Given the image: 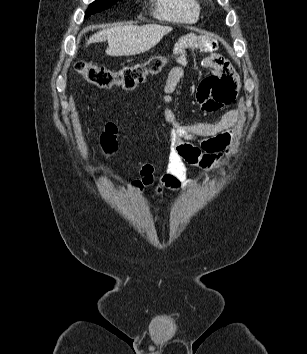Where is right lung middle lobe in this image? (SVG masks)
Instances as JSON below:
<instances>
[{
	"label": "right lung middle lobe",
	"instance_id": "right-lung-middle-lobe-1",
	"mask_svg": "<svg viewBox=\"0 0 307 354\" xmlns=\"http://www.w3.org/2000/svg\"><path fill=\"white\" fill-rule=\"evenodd\" d=\"M118 0H96L89 5L88 10L85 13V18L89 17L91 14L100 12L104 9L111 7Z\"/></svg>",
	"mask_w": 307,
	"mask_h": 354
}]
</instances>
